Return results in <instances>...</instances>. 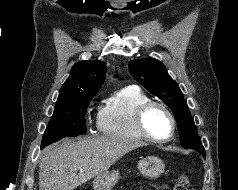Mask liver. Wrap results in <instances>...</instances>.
Segmentation results:
<instances>
[{
    "mask_svg": "<svg viewBox=\"0 0 238 190\" xmlns=\"http://www.w3.org/2000/svg\"><path fill=\"white\" fill-rule=\"evenodd\" d=\"M143 145L119 137L64 141L46 150L40 158L39 190H74L107 172L126 153Z\"/></svg>",
    "mask_w": 238,
    "mask_h": 190,
    "instance_id": "liver-1",
    "label": "liver"
}]
</instances>
